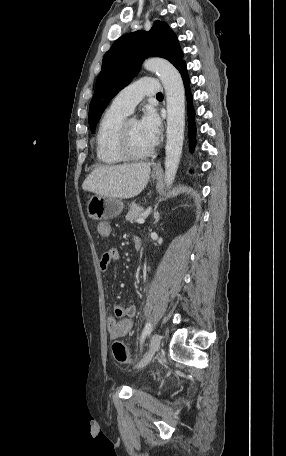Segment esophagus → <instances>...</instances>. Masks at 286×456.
<instances>
[{"label": "esophagus", "instance_id": "34e87169", "mask_svg": "<svg viewBox=\"0 0 286 456\" xmlns=\"http://www.w3.org/2000/svg\"><path fill=\"white\" fill-rule=\"evenodd\" d=\"M153 171L154 172H160L162 171V167H161V162L158 161L157 163H155L154 167H153Z\"/></svg>", "mask_w": 286, "mask_h": 456}]
</instances>
